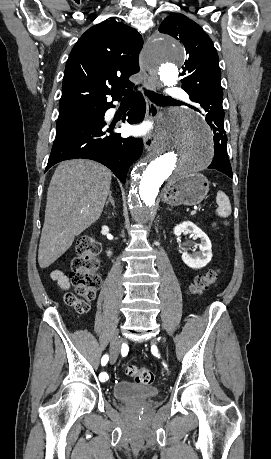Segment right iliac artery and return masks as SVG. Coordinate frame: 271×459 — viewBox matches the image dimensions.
I'll use <instances>...</instances> for the list:
<instances>
[{
	"mask_svg": "<svg viewBox=\"0 0 271 459\" xmlns=\"http://www.w3.org/2000/svg\"><path fill=\"white\" fill-rule=\"evenodd\" d=\"M108 360H109L108 355H104V356L102 357V359H101V364H102L103 366L106 365L107 362H108ZM103 372H104V371H103ZM102 376H103V378H104V379H103L104 382L107 383V382L111 381V376H109L108 373L105 372V373H103Z\"/></svg>",
	"mask_w": 271,
	"mask_h": 459,
	"instance_id": "right-iliac-artery-1",
	"label": "right iliac artery"
}]
</instances>
